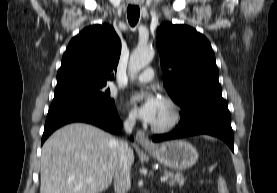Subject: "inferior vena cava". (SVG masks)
I'll return each instance as SVG.
<instances>
[{
    "label": "inferior vena cava",
    "instance_id": "obj_1",
    "mask_svg": "<svg viewBox=\"0 0 277 193\" xmlns=\"http://www.w3.org/2000/svg\"><path fill=\"white\" fill-rule=\"evenodd\" d=\"M136 123L135 117L129 116L124 122V130L131 133ZM130 148L127 141L118 142V169L114 175L115 193H126L131 187L130 181V164H129Z\"/></svg>",
    "mask_w": 277,
    "mask_h": 193
}]
</instances>
